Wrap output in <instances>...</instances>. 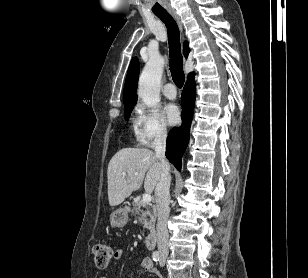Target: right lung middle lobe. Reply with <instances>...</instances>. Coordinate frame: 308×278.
Masks as SVG:
<instances>
[{"instance_id":"1","label":"right lung middle lobe","mask_w":308,"mask_h":278,"mask_svg":"<svg viewBox=\"0 0 308 278\" xmlns=\"http://www.w3.org/2000/svg\"><path fill=\"white\" fill-rule=\"evenodd\" d=\"M134 105L133 104H128L125 105V119L128 120V117L133 109Z\"/></svg>"}]
</instances>
